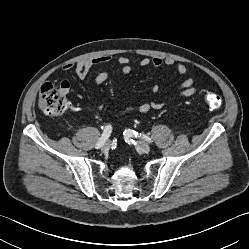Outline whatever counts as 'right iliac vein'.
I'll list each match as a JSON object with an SVG mask.
<instances>
[{"instance_id":"obj_1","label":"right iliac vein","mask_w":249,"mask_h":249,"mask_svg":"<svg viewBox=\"0 0 249 249\" xmlns=\"http://www.w3.org/2000/svg\"><path fill=\"white\" fill-rule=\"evenodd\" d=\"M109 149H110V142L108 141V142H106L105 144H103L101 150H102L103 152H108Z\"/></svg>"}]
</instances>
